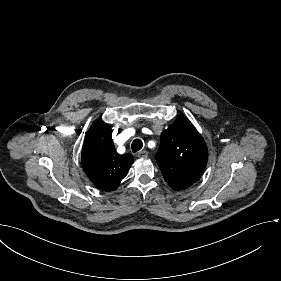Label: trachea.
I'll return each instance as SVG.
<instances>
[{"label": "trachea", "mask_w": 281, "mask_h": 281, "mask_svg": "<svg viewBox=\"0 0 281 281\" xmlns=\"http://www.w3.org/2000/svg\"><path fill=\"white\" fill-rule=\"evenodd\" d=\"M142 146H143L142 141L140 139H135L131 144V149L135 153L141 150Z\"/></svg>", "instance_id": "3493384b"}]
</instances>
